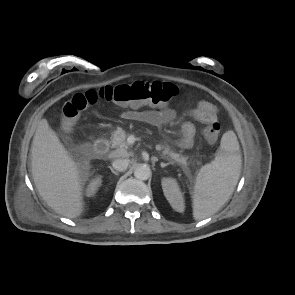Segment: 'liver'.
Segmentation results:
<instances>
[{
	"mask_svg": "<svg viewBox=\"0 0 295 295\" xmlns=\"http://www.w3.org/2000/svg\"><path fill=\"white\" fill-rule=\"evenodd\" d=\"M31 171L39 195L56 213L68 218L82 214L81 171L46 119L40 120L32 141Z\"/></svg>",
	"mask_w": 295,
	"mask_h": 295,
	"instance_id": "liver-1",
	"label": "liver"
}]
</instances>
